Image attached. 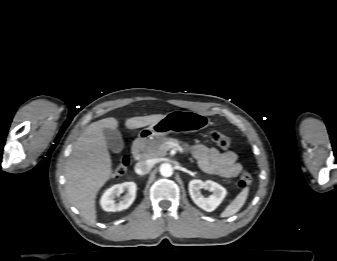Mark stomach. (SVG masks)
Masks as SVG:
<instances>
[{
    "mask_svg": "<svg viewBox=\"0 0 337 261\" xmlns=\"http://www.w3.org/2000/svg\"><path fill=\"white\" fill-rule=\"evenodd\" d=\"M210 124L209 118L195 111L174 110L141 131V137H162L170 133H193Z\"/></svg>",
    "mask_w": 337,
    "mask_h": 261,
    "instance_id": "1",
    "label": "stomach"
}]
</instances>
